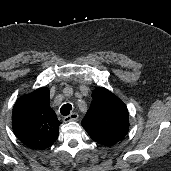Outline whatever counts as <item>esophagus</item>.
I'll list each match as a JSON object with an SVG mask.
<instances>
[{
	"label": "esophagus",
	"mask_w": 171,
	"mask_h": 171,
	"mask_svg": "<svg viewBox=\"0 0 171 171\" xmlns=\"http://www.w3.org/2000/svg\"><path fill=\"white\" fill-rule=\"evenodd\" d=\"M78 114L76 112L71 113L70 115L64 117V122L74 121L78 119Z\"/></svg>",
	"instance_id": "esophagus-1"
}]
</instances>
